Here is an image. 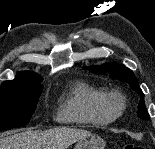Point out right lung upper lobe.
Instances as JSON below:
<instances>
[{
	"instance_id": "obj_1",
	"label": "right lung upper lobe",
	"mask_w": 155,
	"mask_h": 149,
	"mask_svg": "<svg viewBox=\"0 0 155 149\" xmlns=\"http://www.w3.org/2000/svg\"><path fill=\"white\" fill-rule=\"evenodd\" d=\"M38 79H41V77L34 72H21L14 80L5 82L35 81Z\"/></svg>"
}]
</instances>
